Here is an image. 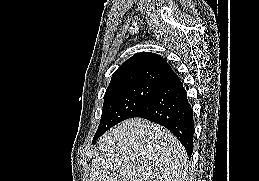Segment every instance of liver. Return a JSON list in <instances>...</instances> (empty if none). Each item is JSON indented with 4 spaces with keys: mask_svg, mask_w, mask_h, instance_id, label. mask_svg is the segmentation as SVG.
<instances>
[{
    "mask_svg": "<svg viewBox=\"0 0 259 181\" xmlns=\"http://www.w3.org/2000/svg\"><path fill=\"white\" fill-rule=\"evenodd\" d=\"M89 181H188L187 153L166 128L141 118L103 134Z\"/></svg>",
    "mask_w": 259,
    "mask_h": 181,
    "instance_id": "liver-1",
    "label": "liver"
}]
</instances>
